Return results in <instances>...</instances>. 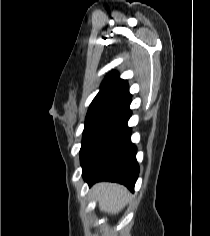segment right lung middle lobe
<instances>
[{
	"instance_id": "dd1d6c3e",
	"label": "right lung middle lobe",
	"mask_w": 210,
	"mask_h": 236,
	"mask_svg": "<svg viewBox=\"0 0 210 236\" xmlns=\"http://www.w3.org/2000/svg\"><path fill=\"white\" fill-rule=\"evenodd\" d=\"M131 97L129 92L124 91L115 95V97L108 100H99L92 102L85 120V128L83 131L84 141L89 135L113 112L118 110Z\"/></svg>"
}]
</instances>
